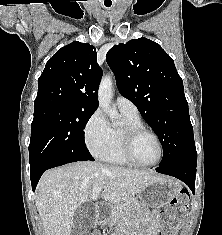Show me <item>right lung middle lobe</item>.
<instances>
[{
  "instance_id": "dd1d6c3e",
  "label": "right lung middle lobe",
  "mask_w": 222,
  "mask_h": 235,
  "mask_svg": "<svg viewBox=\"0 0 222 235\" xmlns=\"http://www.w3.org/2000/svg\"><path fill=\"white\" fill-rule=\"evenodd\" d=\"M93 113V110L64 105L34 112L29 145L30 169L57 157L93 158L84 141V129Z\"/></svg>"
}]
</instances>
